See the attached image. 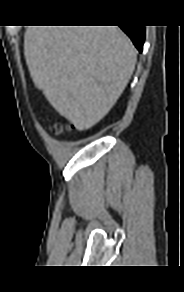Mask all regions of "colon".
<instances>
[{"mask_svg":"<svg viewBox=\"0 0 184 292\" xmlns=\"http://www.w3.org/2000/svg\"><path fill=\"white\" fill-rule=\"evenodd\" d=\"M70 128H71L70 125L64 126L62 124H55L52 127V131L56 134H59V133L63 132L65 129H70Z\"/></svg>","mask_w":184,"mask_h":292,"instance_id":"5ec220e1","label":"colon"}]
</instances>
